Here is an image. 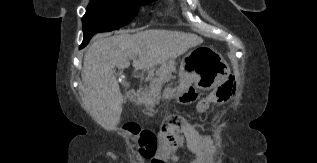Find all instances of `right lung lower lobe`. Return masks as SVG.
I'll use <instances>...</instances> for the list:
<instances>
[{"label": "right lung lower lobe", "instance_id": "1", "mask_svg": "<svg viewBox=\"0 0 317 163\" xmlns=\"http://www.w3.org/2000/svg\"><path fill=\"white\" fill-rule=\"evenodd\" d=\"M86 45H87V44H82V45L80 46V49L83 48V47L86 46Z\"/></svg>", "mask_w": 317, "mask_h": 163}]
</instances>
